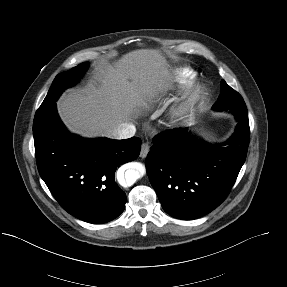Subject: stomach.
<instances>
[{
  "mask_svg": "<svg viewBox=\"0 0 287 287\" xmlns=\"http://www.w3.org/2000/svg\"><path fill=\"white\" fill-rule=\"evenodd\" d=\"M194 131L196 134L202 136L207 140H213L215 138L214 134L203 125H198Z\"/></svg>",
  "mask_w": 287,
  "mask_h": 287,
  "instance_id": "1",
  "label": "stomach"
}]
</instances>
